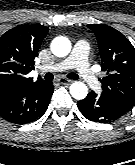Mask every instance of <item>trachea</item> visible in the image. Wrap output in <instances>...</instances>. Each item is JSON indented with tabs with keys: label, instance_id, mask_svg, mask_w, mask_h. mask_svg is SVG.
Returning <instances> with one entry per match:
<instances>
[{
	"label": "trachea",
	"instance_id": "1",
	"mask_svg": "<svg viewBox=\"0 0 135 165\" xmlns=\"http://www.w3.org/2000/svg\"><path fill=\"white\" fill-rule=\"evenodd\" d=\"M67 77L70 78V79H73V80H78V79H79V76H78L77 74H75V73H69V74L67 75ZM44 78H45L46 80H51V79L54 78V76H53L52 73H47V74L44 76Z\"/></svg>",
	"mask_w": 135,
	"mask_h": 165
}]
</instances>
